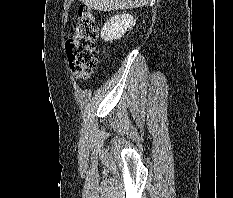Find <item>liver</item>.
Masks as SVG:
<instances>
[{"instance_id": "obj_1", "label": "liver", "mask_w": 233, "mask_h": 198, "mask_svg": "<svg viewBox=\"0 0 233 198\" xmlns=\"http://www.w3.org/2000/svg\"><path fill=\"white\" fill-rule=\"evenodd\" d=\"M88 8L97 11H114L139 8L148 5L150 0H79Z\"/></svg>"}]
</instances>
